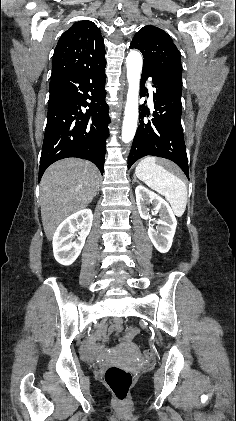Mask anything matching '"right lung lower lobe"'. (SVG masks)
<instances>
[{
  "instance_id": "obj_1",
  "label": "right lung lower lobe",
  "mask_w": 236,
  "mask_h": 421,
  "mask_svg": "<svg viewBox=\"0 0 236 421\" xmlns=\"http://www.w3.org/2000/svg\"><path fill=\"white\" fill-rule=\"evenodd\" d=\"M105 65L51 79L48 119L39 166V180L55 161L77 157L93 162L103 174L109 106L105 102ZM88 100V101H87ZM89 107L84 113L81 107Z\"/></svg>"
}]
</instances>
